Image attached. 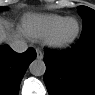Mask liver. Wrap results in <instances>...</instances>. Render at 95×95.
I'll use <instances>...</instances> for the list:
<instances>
[{"label":"liver","mask_w":95,"mask_h":95,"mask_svg":"<svg viewBox=\"0 0 95 95\" xmlns=\"http://www.w3.org/2000/svg\"><path fill=\"white\" fill-rule=\"evenodd\" d=\"M18 38L17 34L11 33L9 23L5 20L1 22L0 28V41L1 43H8L10 44L12 41Z\"/></svg>","instance_id":"6515ba94"}]
</instances>
